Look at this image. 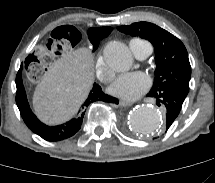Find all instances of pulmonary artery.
Segmentation results:
<instances>
[{
	"label": "pulmonary artery",
	"instance_id": "obj_1",
	"mask_svg": "<svg viewBox=\"0 0 215 183\" xmlns=\"http://www.w3.org/2000/svg\"><path fill=\"white\" fill-rule=\"evenodd\" d=\"M134 56L139 60L146 59L153 51L150 43L139 39H134L129 44Z\"/></svg>",
	"mask_w": 215,
	"mask_h": 183
}]
</instances>
